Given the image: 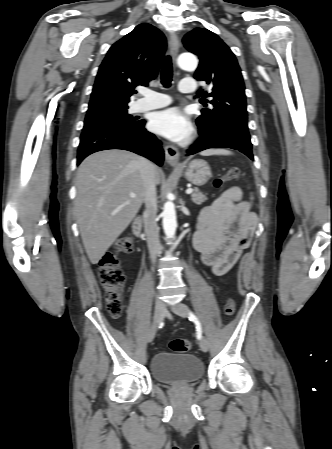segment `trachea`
<instances>
[{"label": "trachea", "mask_w": 332, "mask_h": 449, "mask_svg": "<svg viewBox=\"0 0 332 449\" xmlns=\"http://www.w3.org/2000/svg\"><path fill=\"white\" fill-rule=\"evenodd\" d=\"M172 61L170 56H166L162 70H161V83L164 87H169L172 81Z\"/></svg>", "instance_id": "trachea-1"}]
</instances>
